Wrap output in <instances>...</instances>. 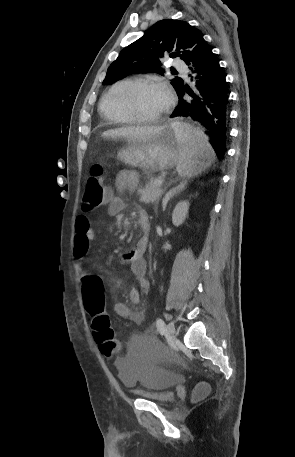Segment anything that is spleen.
<instances>
[{"label":"spleen","instance_id":"spleen-1","mask_svg":"<svg viewBox=\"0 0 295 457\" xmlns=\"http://www.w3.org/2000/svg\"><path fill=\"white\" fill-rule=\"evenodd\" d=\"M171 126L176 132L180 155L176 170L181 177H193L209 166L205 164V159H213L214 151L201 129L180 122Z\"/></svg>","mask_w":295,"mask_h":457}]
</instances>
